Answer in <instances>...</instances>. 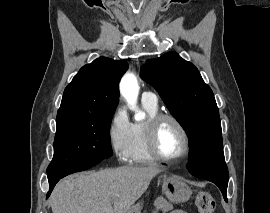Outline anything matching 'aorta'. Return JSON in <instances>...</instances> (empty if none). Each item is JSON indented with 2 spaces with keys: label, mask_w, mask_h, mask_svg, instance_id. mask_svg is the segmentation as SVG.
<instances>
[{
  "label": "aorta",
  "mask_w": 270,
  "mask_h": 213,
  "mask_svg": "<svg viewBox=\"0 0 270 213\" xmlns=\"http://www.w3.org/2000/svg\"><path fill=\"white\" fill-rule=\"evenodd\" d=\"M120 92L130 108L136 112L135 119H143L145 114L139 111L136 107L139 86L137 78L133 73H127L124 75L120 83Z\"/></svg>",
  "instance_id": "1"
}]
</instances>
